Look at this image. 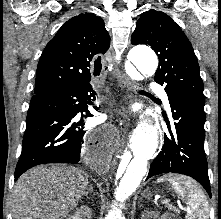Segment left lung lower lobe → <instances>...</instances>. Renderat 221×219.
Returning a JSON list of instances; mask_svg holds the SVG:
<instances>
[{
	"instance_id": "obj_1",
	"label": "left lung lower lobe",
	"mask_w": 221,
	"mask_h": 219,
	"mask_svg": "<svg viewBox=\"0 0 221 219\" xmlns=\"http://www.w3.org/2000/svg\"><path fill=\"white\" fill-rule=\"evenodd\" d=\"M174 124H168L162 151L154 159L147 176L179 173L197 180L211 197L207 159L204 152V107L187 100L168 97Z\"/></svg>"
}]
</instances>
